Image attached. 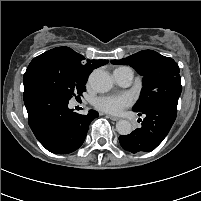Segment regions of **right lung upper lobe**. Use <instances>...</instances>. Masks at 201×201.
Returning <instances> with one entry per match:
<instances>
[{
    "instance_id": "cb5924a9",
    "label": "right lung upper lobe",
    "mask_w": 201,
    "mask_h": 201,
    "mask_svg": "<svg viewBox=\"0 0 201 201\" xmlns=\"http://www.w3.org/2000/svg\"><path fill=\"white\" fill-rule=\"evenodd\" d=\"M49 56H55L60 58L65 63V65L67 66V68L73 75L85 81H87L89 74L94 69L108 63L107 60L85 61L84 56L76 53L74 50H72L69 47H57L49 51H46L45 53L34 58L31 61V63L35 62L38 59L49 57Z\"/></svg>"
}]
</instances>
